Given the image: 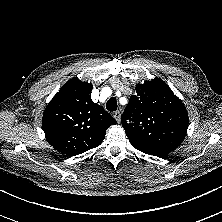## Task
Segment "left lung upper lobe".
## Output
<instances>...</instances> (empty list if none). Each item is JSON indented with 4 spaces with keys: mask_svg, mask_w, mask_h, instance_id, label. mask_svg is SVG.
I'll use <instances>...</instances> for the list:
<instances>
[{
    "mask_svg": "<svg viewBox=\"0 0 222 222\" xmlns=\"http://www.w3.org/2000/svg\"><path fill=\"white\" fill-rule=\"evenodd\" d=\"M135 90L121 117L131 145L176 149L189 122L184 104L160 79L139 84Z\"/></svg>",
    "mask_w": 222,
    "mask_h": 222,
    "instance_id": "1",
    "label": "left lung upper lobe"
}]
</instances>
